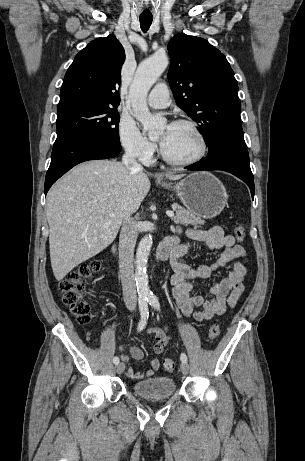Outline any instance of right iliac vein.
I'll return each instance as SVG.
<instances>
[{
  "mask_svg": "<svg viewBox=\"0 0 305 461\" xmlns=\"http://www.w3.org/2000/svg\"><path fill=\"white\" fill-rule=\"evenodd\" d=\"M124 370H125V364L124 363L121 362V363H118L116 365V372L118 374H122L124 372Z\"/></svg>",
  "mask_w": 305,
  "mask_h": 461,
  "instance_id": "63e3f726",
  "label": "right iliac vein"
}]
</instances>
